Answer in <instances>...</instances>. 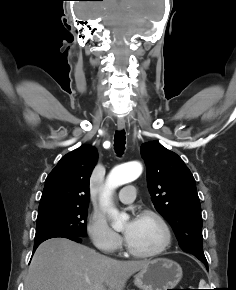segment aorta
<instances>
[{
    "label": "aorta",
    "mask_w": 236,
    "mask_h": 290,
    "mask_svg": "<svg viewBox=\"0 0 236 290\" xmlns=\"http://www.w3.org/2000/svg\"><path fill=\"white\" fill-rule=\"evenodd\" d=\"M142 173V165L138 162H130L112 169L107 177L104 191L102 193V203L113 219L112 228L121 230L125 222L129 219L126 213L119 211L111 205L110 196L117 187L136 180Z\"/></svg>",
    "instance_id": "762f6f07"
}]
</instances>
